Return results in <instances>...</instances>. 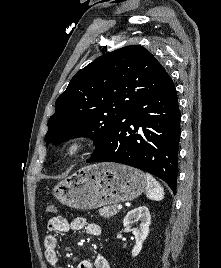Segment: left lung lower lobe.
Segmentation results:
<instances>
[{
	"instance_id": "0a47b994",
	"label": "left lung lower lobe",
	"mask_w": 221,
	"mask_h": 268,
	"mask_svg": "<svg viewBox=\"0 0 221 268\" xmlns=\"http://www.w3.org/2000/svg\"><path fill=\"white\" fill-rule=\"evenodd\" d=\"M180 120L176 90L171 80L129 109L105 139L100 151L87 162H115L148 171L164 180L175 194Z\"/></svg>"
}]
</instances>
